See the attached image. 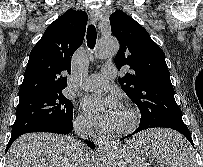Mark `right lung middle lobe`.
<instances>
[{"mask_svg":"<svg viewBox=\"0 0 203 167\" xmlns=\"http://www.w3.org/2000/svg\"><path fill=\"white\" fill-rule=\"evenodd\" d=\"M72 120L73 106L62 94V90L42 94L19 102L11 137Z\"/></svg>","mask_w":203,"mask_h":167,"instance_id":"1","label":"right lung middle lobe"}]
</instances>
